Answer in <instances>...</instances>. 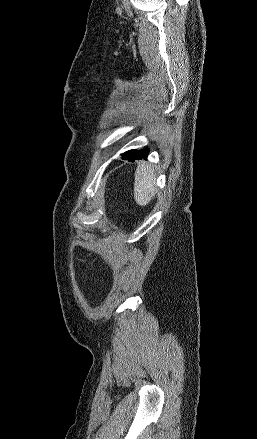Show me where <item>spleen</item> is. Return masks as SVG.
<instances>
[{
  "label": "spleen",
  "mask_w": 257,
  "mask_h": 439,
  "mask_svg": "<svg viewBox=\"0 0 257 439\" xmlns=\"http://www.w3.org/2000/svg\"><path fill=\"white\" fill-rule=\"evenodd\" d=\"M155 171L146 163H140L135 172L134 197L140 206L147 205L155 196Z\"/></svg>",
  "instance_id": "3e777b00"
}]
</instances>
